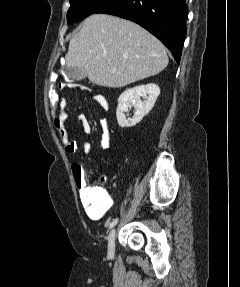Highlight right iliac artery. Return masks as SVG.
<instances>
[{"label": "right iliac artery", "instance_id": "82829eb1", "mask_svg": "<svg viewBox=\"0 0 240 287\" xmlns=\"http://www.w3.org/2000/svg\"><path fill=\"white\" fill-rule=\"evenodd\" d=\"M118 222V218L113 219V221L110 223L109 229L113 228Z\"/></svg>", "mask_w": 240, "mask_h": 287}]
</instances>
